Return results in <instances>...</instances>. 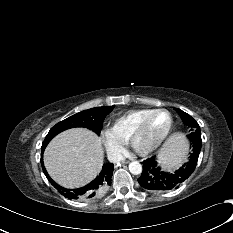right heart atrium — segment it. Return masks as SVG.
<instances>
[{"mask_svg": "<svg viewBox=\"0 0 233 233\" xmlns=\"http://www.w3.org/2000/svg\"><path fill=\"white\" fill-rule=\"evenodd\" d=\"M102 144L107 152V154L114 159H119L125 149L121 143L115 140L109 133L101 134Z\"/></svg>", "mask_w": 233, "mask_h": 233, "instance_id": "d8ad5b80", "label": "right heart atrium"}]
</instances>
